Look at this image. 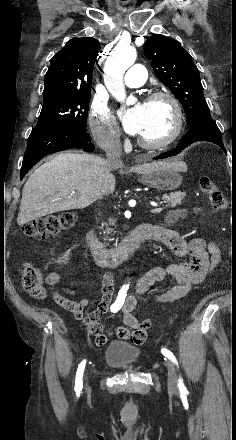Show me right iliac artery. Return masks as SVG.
<instances>
[{"label": "right iliac artery", "mask_w": 236, "mask_h": 440, "mask_svg": "<svg viewBox=\"0 0 236 440\" xmlns=\"http://www.w3.org/2000/svg\"><path fill=\"white\" fill-rule=\"evenodd\" d=\"M129 289V286H122V288L120 289V291L118 292V296L116 301L111 305L110 310L113 313L118 312L121 307L124 304L125 298L127 296V290ZM85 365H86V361L83 360L77 369V373H76V379H75V391L77 393H80L82 391V387H83V373H84V369H85Z\"/></svg>", "instance_id": "82829eb1"}]
</instances>
